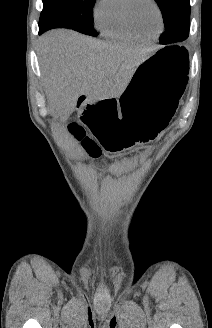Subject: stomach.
<instances>
[{
  "label": "stomach",
  "instance_id": "obj_1",
  "mask_svg": "<svg viewBox=\"0 0 212 328\" xmlns=\"http://www.w3.org/2000/svg\"><path fill=\"white\" fill-rule=\"evenodd\" d=\"M184 49H157L140 63L117 102H87L81 124L98 146L121 152L160 135L168 126L187 82ZM148 100L152 102H138Z\"/></svg>",
  "mask_w": 212,
  "mask_h": 328
}]
</instances>
